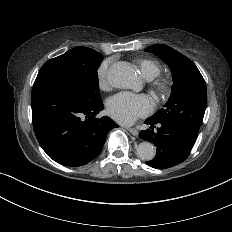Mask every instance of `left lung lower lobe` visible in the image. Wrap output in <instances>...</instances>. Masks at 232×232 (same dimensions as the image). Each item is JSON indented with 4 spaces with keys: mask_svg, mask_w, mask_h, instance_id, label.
Returning a JSON list of instances; mask_svg holds the SVG:
<instances>
[{
    "mask_svg": "<svg viewBox=\"0 0 232 232\" xmlns=\"http://www.w3.org/2000/svg\"><path fill=\"white\" fill-rule=\"evenodd\" d=\"M145 123L151 125L150 129L141 131L139 137L157 147L156 156L151 161H147V165L156 169H165L180 164L188 158L197 136L171 122H156L148 118ZM155 124L159 127L154 131Z\"/></svg>",
    "mask_w": 232,
    "mask_h": 232,
    "instance_id": "left-lung-lower-lobe-1",
    "label": "left lung lower lobe"
}]
</instances>
